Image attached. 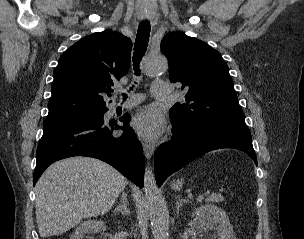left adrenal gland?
Instances as JSON below:
<instances>
[{
  "mask_svg": "<svg viewBox=\"0 0 304 239\" xmlns=\"http://www.w3.org/2000/svg\"><path fill=\"white\" fill-rule=\"evenodd\" d=\"M189 202V199H183L180 196L176 197V213L179 214V208L183 206L184 203Z\"/></svg>",
  "mask_w": 304,
  "mask_h": 239,
  "instance_id": "left-adrenal-gland-1",
  "label": "left adrenal gland"
}]
</instances>
